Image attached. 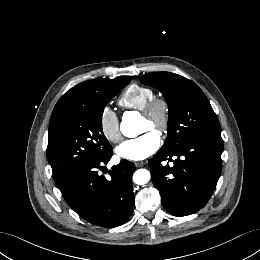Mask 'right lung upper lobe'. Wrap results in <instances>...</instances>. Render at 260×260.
I'll return each mask as SVG.
<instances>
[{
    "instance_id": "cb5924a9",
    "label": "right lung upper lobe",
    "mask_w": 260,
    "mask_h": 260,
    "mask_svg": "<svg viewBox=\"0 0 260 260\" xmlns=\"http://www.w3.org/2000/svg\"><path fill=\"white\" fill-rule=\"evenodd\" d=\"M131 80L130 77H120L115 79H94L82 82L67 91L57 102L52 112L50 122L59 118L63 113L77 105L83 103L93 92L98 91L109 83H122ZM130 82V81H129Z\"/></svg>"
}]
</instances>
